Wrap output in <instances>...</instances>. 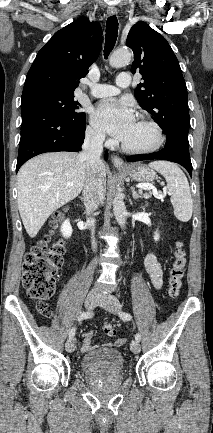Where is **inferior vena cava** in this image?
Returning a JSON list of instances; mask_svg holds the SVG:
<instances>
[{
	"mask_svg": "<svg viewBox=\"0 0 213 433\" xmlns=\"http://www.w3.org/2000/svg\"><path fill=\"white\" fill-rule=\"evenodd\" d=\"M104 140L105 136L103 134L87 131L80 153V157L86 162L87 166V175L83 187V201L87 215L92 214L98 208L106 192V181L99 169ZM87 223L91 228L92 248L95 251L97 248L94 238L95 220L88 218Z\"/></svg>",
	"mask_w": 213,
	"mask_h": 433,
	"instance_id": "602c4592",
	"label": "inferior vena cava"
}]
</instances>
